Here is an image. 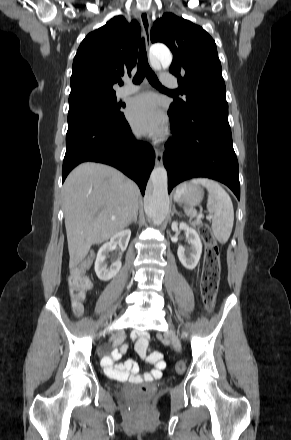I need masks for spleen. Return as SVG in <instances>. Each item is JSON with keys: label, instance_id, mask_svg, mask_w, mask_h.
I'll use <instances>...</instances> for the list:
<instances>
[{"label": "spleen", "instance_id": "obj_1", "mask_svg": "<svg viewBox=\"0 0 291 440\" xmlns=\"http://www.w3.org/2000/svg\"><path fill=\"white\" fill-rule=\"evenodd\" d=\"M192 184H200L208 190L207 209L212 219V231L216 239L225 244L231 234L234 223L233 204L228 193L222 186L208 178H195ZM187 216L195 217L197 211L193 208H184Z\"/></svg>", "mask_w": 291, "mask_h": 440}]
</instances>
